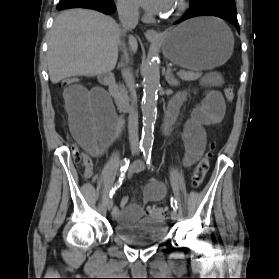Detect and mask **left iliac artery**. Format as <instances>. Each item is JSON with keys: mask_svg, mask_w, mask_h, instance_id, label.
I'll use <instances>...</instances> for the list:
<instances>
[{"mask_svg": "<svg viewBox=\"0 0 279 279\" xmlns=\"http://www.w3.org/2000/svg\"><path fill=\"white\" fill-rule=\"evenodd\" d=\"M151 150H152V147H146L145 150L143 151L144 158L149 166H150V160H151ZM171 206L175 211L178 209L177 201L173 197H171Z\"/></svg>", "mask_w": 279, "mask_h": 279, "instance_id": "1", "label": "left iliac artery"}]
</instances>
